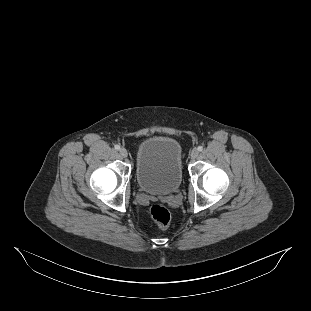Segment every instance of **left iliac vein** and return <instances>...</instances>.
Here are the masks:
<instances>
[{
    "label": "left iliac vein",
    "mask_w": 311,
    "mask_h": 311,
    "mask_svg": "<svg viewBox=\"0 0 311 311\" xmlns=\"http://www.w3.org/2000/svg\"><path fill=\"white\" fill-rule=\"evenodd\" d=\"M198 154H199L198 149L194 148V149L191 151L190 156H191L192 159H195V158L198 156Z\"/></svg>",
    "instance_id": "1"
}]
</instances>
